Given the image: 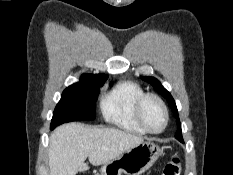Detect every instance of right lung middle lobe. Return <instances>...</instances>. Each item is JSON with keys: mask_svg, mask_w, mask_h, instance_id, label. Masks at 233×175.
Listing matches in <instances>:
<instances>
[{"mask_svg": "<svg viewBox=\"0 0 233 175\" xmlns=\"http://www.w3.org/2000/svg\"><path fill=\"white\" fill-rule=\"evenodd\" d=\"M105 81H85L66 88L53 112L51 130L66 122L94 120L99 88Z\"/></svg>", "mask_w": 233, "mask_h": 175, "instance_id": "right-lung-middle-lobe-1", "label": "right lung middle lobe"}]
</instances>
